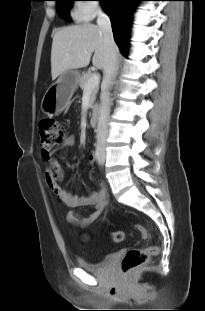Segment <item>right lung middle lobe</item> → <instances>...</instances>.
Returning a JSON list of instances; mask_svg holds the SVG:
<instances>
[{"mask_svg": "<svg viewBox=\"0 0 205 311\" xmlns=\"http://www.w3.org/2000/svg\"><path fill=\"white\" fill-rule=\"evenodd\" d=\"M54 1H56V8L58 11V15L64 18L65 20L70 21L68 13L72 2L75 0H54Z\"/></svg>", "mask_w": 205, "mask_h": 311, "instance_id": "obj_1", "label": "right lung middle lobe"}]
</instances>
